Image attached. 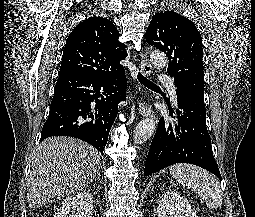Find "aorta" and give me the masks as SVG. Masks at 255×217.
<instances>
[{
	"mask_svg": "<svg viewBox=\"0 0 255 217\" xmlns=\"http://www.w3.org/2000/svg\"><path fill=\"white\" fill-rule=\"evenodd\" d=\"M150 61L156 68H163L167 65L168 59L163 52L153 51L150 54ZM156 129V122L152 118H146L140 121L136 126L133 134L135 144H143L154 133Z\"/></svg>",
	"mask_w": 255,
	"mask_h": 217,
	"instance_id": "obj_1",
	"label": "aorta"
}]
</instances>
